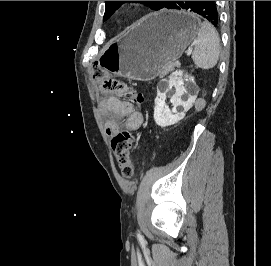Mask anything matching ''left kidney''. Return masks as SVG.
Wrapping results in <instances>:
<instances>
[{
  "label": "left kidney",
  "instance_id": "1",
  "mask_svg": "<svg viewBox=\"0 0 271 266\" xmlns=\"http://www.w3.org/2000/svg\"><path fill=\"white\" fill-rule=\"evenodd\" d=\"M182 77V71H176L169 76V88H175V94H173L170 99V102L173 105L172 109L165 108L166 92H157L154 120L156 124L161 127L173 125L183 119L196 99L195 96H191L188 93ZM185 79L189 82L190 77L185 75Z\"/></svg>",
  "mask_w": 271,
  "mask_h": 266
}]
</instances>
